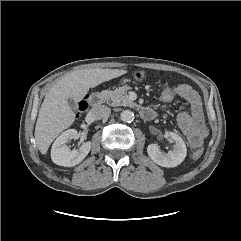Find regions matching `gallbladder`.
I'll return each mask as SVG.
<instances>
[{"label":"gallbladder","instance_id":"gallbladder-1","mask_svg":"<svg viewBox=\"0 0 241 241\" xmlns=\"http://www.w3.org/2000/svg\"><path fill=\"white\" fill-rule=\"evenodd\" d=\"M67 102L73 110H77V102L74 99L68 98Z\"/></svg>","mask_w":241,"mask_h":241}]
</instances>
